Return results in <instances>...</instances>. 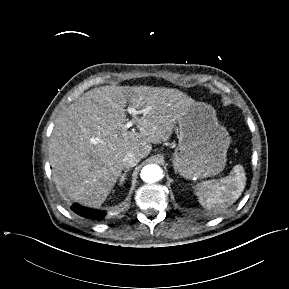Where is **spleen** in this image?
<instances>
[{"mask_svg":"<svg viewBox=\"0 0 289 289\" xmlns=\"http://www.w3.org/2000/svg\"><path fill=\"white\" fill-rule=\"evenodd\" d=\"M246 185L242 165H235L230 174L220 180L203 181L197 185L199 203L207 209L217 211L231 206L241 196Z\"/></svg>","mask_w":289,"mask_h":289,"instance_id":"obj_1","label":"spleen"}]
</instances>
